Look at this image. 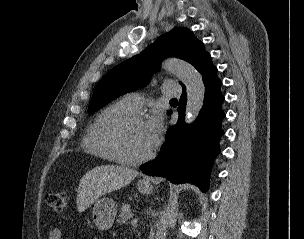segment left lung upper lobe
Masks as SVG:
<instances>
[{
    "label": "left lung upper lobe",
    "instance_id": "1",
    "mask_svg": "<svg viewBox=\"0 0 304 239\" xmlns=\"http://www.w3.org/2000/svg\"><path fill=\"white\" fill-rule=\"evenodd\" d=\"M210 54L188 29L177 27L161 35L140 54L110 70L97 84L88 113L93 114L111 100L148 84L151 73L159 68L161 60L177 57L192 64L198 71ZM183 87H185L183 85Z\"/></svg>",
    "mask_w": 304,
    "mask_h": 239
}]
</instances>
